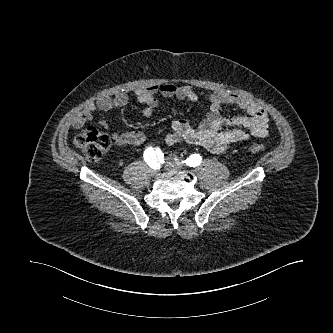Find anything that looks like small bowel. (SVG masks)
<instances>
[{"instance_id":"obj_1","label":"small bowel","mask_w":333,"mask_h":333,"mask_svg":"<svg viewBox=\"0 0 333 333\" xmlns=\"http://www.w3.org/2000/svg\"><path fill=\"white\" fill-rule=\"evenodd\" d=\"M136 99L144 105L141 111L143 118L153 115L157 106V95L166 98H177L191 102H198V93L190 86L163 83L146 88H138L134 92ZM128 95L119 92L112 96H103L91 102L84 111L76 115L71 121L73 128H81L93 118L96 110L110 111L125 106ZM225 104H233L242 109L245 114L225 118L221 108ZM105 125V123H102ZM267 112L255 101L240 94L228 91H215L209 95V111L198 127H193L186 119L173 121L171 133L165 138L168 146L186 142L200 146L213 153H222L232 144L249 140L251 137L265 138L268 136ZM114 143L120 147H139L145 141L141 131L113 133Z\"/></svg>"}]
</instances>
